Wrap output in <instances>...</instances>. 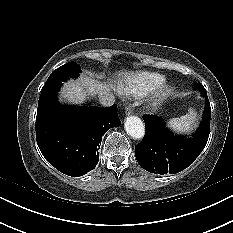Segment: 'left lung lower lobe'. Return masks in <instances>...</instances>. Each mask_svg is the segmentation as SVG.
I'll use <instances>...</instances> for the list:
<instances>
[{
  "label": "left lung lower lobe",
  "mask_w": 233,
  "mask_h": 233,
  "mask_svg": "<svg viewBox=\"0 0 233 233\" xmlns=\"http://www.w3.org/2000/svg\"><path fill=\"white\" fill-rule=\"evenodd\" d=\"M206 100L203 120L191 138L173 134L156 115L143 116L146 132L143 140L135 146L139 165L155 174L178 173L189 167L204 149L210 132L211 107Z\"/></svg>",
  "instance_id": "0a47b994"
}]
</instances>
